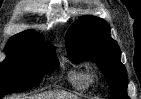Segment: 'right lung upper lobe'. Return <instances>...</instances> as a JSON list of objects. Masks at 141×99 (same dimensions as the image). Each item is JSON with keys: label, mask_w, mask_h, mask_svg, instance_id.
<instances>
[{"label": "right lung upper lobe", "mask_w": 141, "mask_h": 99, "mask_svg": "<svg viewBox=\"0 0 141 99\" xmlns=\"http://www.w3.org/2000/svg\"><path fill=\"white\" fill-rule=\"evenodd\" d=\"M8 42H25L38 45H48L42 42L41 37L32 30H26L13 36Z\"/></svg>", "instance_id": "1"}]
</instances>
